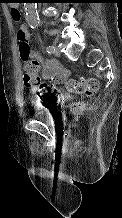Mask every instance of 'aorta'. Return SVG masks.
I'll use <instances>...</instances> for the list:
<instances>
[{"mask_svg": "<svg viewBox=\"0 0 122 218\" xmlns=\"http://www.w3.org/2000/svg\"><path fill=\"white\" fill-rule=\"evenodd\" d=\"M26 19L31 28L37 27L39 18L36 10V3L26 4Z\"/></svg>", "mask_w": 122, "mask_h": 218, "instance_id": "aorta-1", "label": "aorta"}]
</instances>
